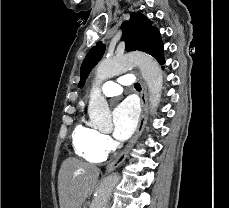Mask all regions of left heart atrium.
I'll return each mask as SVG.
<instances>
[{
	"label": "left heart atrium",
	"mask_w": 229,
	"mask_h": 208,
	"mask_svg": "<svg viewBox=\"0 0 229 208\" xmlns=\"http://www.w3.org/2000/svg\"><path fill=\"white\" fill-rule=\"evenodd\" d=\"M137 108L130 100L119 104L113 112V135L119 141L128 139L137 123Z\"/></svg>",
	"instance_id": "obj_1"
}]
</instances>
